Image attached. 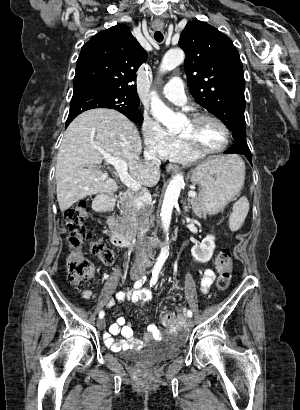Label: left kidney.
Segmentation results:
<instances>
[{
    "mask_svg": "<svg viewBox=\"0 0 300 410\" xmlns=\"http://www.w3.org/2000/svg\"><path fill=\"white\" fill-rule=\"evenodd\" d=\"M214 240L215 237L213 235H207L201 243L192 247L191 253L197 262L207 263L212 258L215 249Z\"/></svg>",
    "mask_w": 300,
    "mask_h": 410,
    "instance_id": "5707ae66",
    "label": "left kidney"
}]
</instances>
